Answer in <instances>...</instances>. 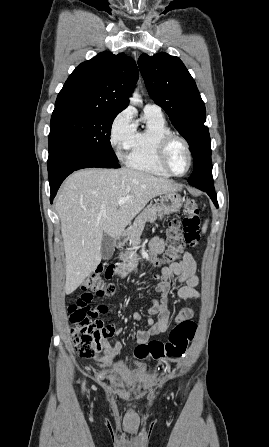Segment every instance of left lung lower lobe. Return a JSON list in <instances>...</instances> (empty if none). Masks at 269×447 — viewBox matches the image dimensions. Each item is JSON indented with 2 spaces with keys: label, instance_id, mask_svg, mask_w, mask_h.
Wrapping results in <instances>:
<instances>
[{
  "label": "left lung lower lobe",
  "instance_id": "1",
  "mask_svg": "<svg viewBox=\"0 0 269 447\" xmlns=\"http://www.w3.org/2000/svg\"><path fill=\"white\" fill-rule=\"evenodd\" d=\"M195 187L200 189V190H202V191H204V192H206L210 196V198L212 199L214 204L217 205V199H216V193L214 191V185H206V186L196 185Z\"/></svg>",
  "mask_w": 269,
  "mask_h": 447
}]
</instances>
